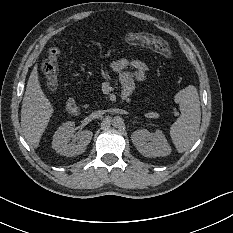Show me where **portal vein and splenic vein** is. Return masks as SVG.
Here are the masks:
<instances>
[{"label": "portal vein and splenic vein", "instance_id": "portal-vein-and-splenic-vein-1", "mask_svg": "<svg viewBox=\"0 0 233 233\" xmlns=\"http://www.w3.org/2000/svg\"><path fill=\"white\" fill-rule=\"evenodd\" d=\"M145 117H147V118H158L159 114L156 113V112H150V113H146Z\"/></svg>", "mask_w": 233, "mask_h": 233}]
</instances>
